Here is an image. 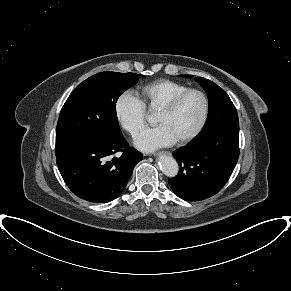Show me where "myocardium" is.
Returning <instances> with one entry per match:
<instances>
[{"label": "myocardium", "mask_w": 291, "mask_h": 291, "mask_svg": "<svg viewBox=\"0 0 291 291\" xmlns=\"http://www.w3.org/2000/svg\"><path fill=\"white\" fill-rule=\"evenodd\" d=\"M190 94H197L201 97L202 101H203V111H202V116L201 119L198 123V125L196 126V128L187 136L179 139L176 141V143L178 145H184L189 143L190 141H192L193 139H195L204 129L208 117H209V111H210V101L209 98L207 96V94L200 90V89H196V88H188L178 94H176L175 96H173L168 102H166L159 110L158 112H163V113H171L178 105L179 103L188 95Z\"/></svg>", "instance_id": "1"}]
</instances>
